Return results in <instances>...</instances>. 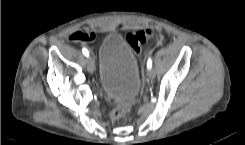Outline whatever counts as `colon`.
Instances as JSON below:
<instances>
[{
  "mask_svg": "<svg viewBox=\"0 0 245 145\" xmlns=\"http://www.w3.org/2000/svg\"><path fill=\"white\" fill-rule=\"evenodd\" d=\"M93 38L94 35L92 33L82 29H76L72 31L68 36L69 41L81 42V43H88L92 41ZM154 38H155V32L152 29L135 30L127 34L126 36V40L133 48L136 55L140 54L142 45L146 41L153 40ZM138 65L140 67V64ZM129 112H130V105L127 102H119L115 105V107L111 111V118L114 121H121L128 115Z\"/></svg>",
  "mask_w": 245,
  "mask_h": 145,
  "instance_id": "5ec220e1",
  "label": "colon"
}]
</instances>
